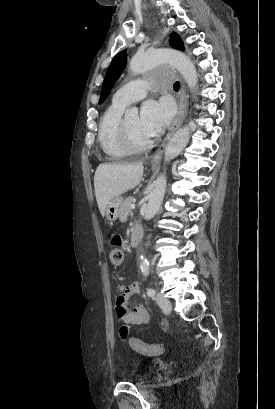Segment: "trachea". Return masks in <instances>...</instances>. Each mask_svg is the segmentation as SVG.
<instances>
[{"label": "trachea", "mask_w": 275, "mask_h": 409, "mask_svg": "<svg viewBox=\"0 0 275 409\" xmlns=\"http://www.w3.org/2000/svg\"><path fill=\"white\" fill-rule=\"evenodd\" d=\"M174 90L178 91L180 89V83L179 82H175L173 85Z\"/></svg>", "instance_id": "trachea-1"}]
</instances>
